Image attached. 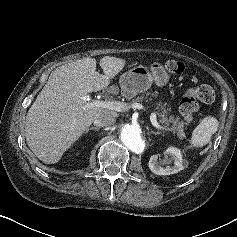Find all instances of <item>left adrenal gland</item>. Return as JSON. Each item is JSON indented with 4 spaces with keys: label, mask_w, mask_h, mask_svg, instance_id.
Wrapping results in <instances>:
<instances>
[{
    "label": "left adrenal gland",
    "mask_w": 237,
    "mask_h": 237,
    "mask_svg": "<svg viewBox=\"0 0 237 237\" xmlns=\"http://www.w3.org/2000/svg\"><path fill=\"white\" fill-rule=\"evenodd\" d=\"M151 134H154V135H160L161 132H158V131H157V132H154V131H152Z\"/></svg>",
    "instance_id": "a2214340"
}]
</instances>
